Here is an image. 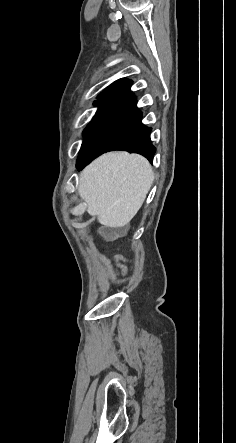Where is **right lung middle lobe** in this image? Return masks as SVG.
Masks as SVG:
<instances>
[{
	"instance_id": "obj_1",
	"label": "right lung middle lobe",
	"mask_w": 236,
	"mask_h": 443,
	"mask_svg": "<svg viewBox=\"0 0 236 443\" xmlns=\"http://www.w3.org/2000/svg\"><path fill=\"white\" fill-rule=\"evenodd\" d=\"M104 102H105V101H101V102H96V101H95V102H94V105L97 104V105L99 106V108H100Z\"/></svg>"
}]
</instances>
